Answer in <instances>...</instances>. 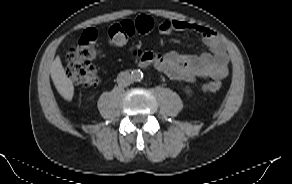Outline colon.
Returning a JSON list of instances; mask_svg holds the SVG:
<instances>
[{
	"mask_svg": "<svg viewBox=\"0 0 292 184\" xmlns=\"http://www.w3.org/2000/svg\"><path fill=\"white\" fill-rule=\"evenodd\" d=\"M155 28L154 20L149 16H140L135 20H123L114 23L108 30V40L114 46L125 44L134 34H149ZM97 33L94 29L84 31L66 54V74L76 84L93 87L98 82L97 66L92 59L97 54ZM219 80L209 81L203 85L206 92L221 89Z\"/></svg>",
	"mask_w": 292,
	"mask_h": 184,
	"instance_id": "1",
	"label": "colon"
}]
</instances>
